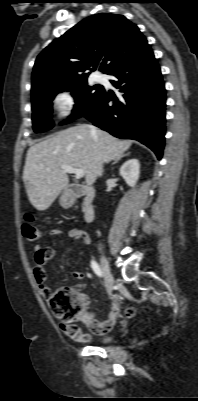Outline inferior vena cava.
Listing matches in <instances>:
<instances>
[{
    "label": "inferior vena cava",
    "mask_w": 198,
    "mask_h": 401,
    "mask_svg": "<svg viewBox=\"0 0 198 401\" xmlns=\"http://www.w3.org/2000/svg\"><path fill=\"white\" fill-rule=\"evenodd\" d=\"M90 131L93 135L96 134V129L93 126H89ZM103 173V163L101 161V159L99 158V164H98V168H97V176H102Z\"/></svg>",
    "instance_id": "1"
}]
</instances>
